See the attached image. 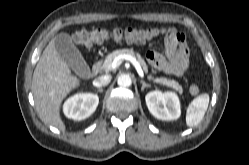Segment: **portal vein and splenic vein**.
<instances>
[{
    "label": "portal vein and splenic vein",
    "instance_id": "obj_1",
    "mask_svg": "<svg viewBox=\"0 0 249 165\" xmlns=\"http://www.w3.org/2000/svg\"><path fill=\"white\" fill-rule=\"evenodd\" d=\"M123 60L130 61L134 65V67L136 68L139 76L144 77V72L141 68L140 63L136 60V58H134L131 55L124 54V55H119V56L115 57L112 64H111V68L116 69L117 67H119L121 65Z\"/></svg>",
    "mask_w": 249,
    "mask_h": 165
}]
</instances>
